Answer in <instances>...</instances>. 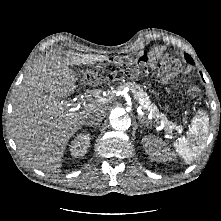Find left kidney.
<instances>
[{
    "instance_id": "left-kidney-1",
    "label": "left kidney",
    "mask_w": 221,
    "mask_h": 221,
    "mask_svg": "<svg viewBox=\"0 0 221 221\" xmlns=\"http://www.w3.org/2000/svg\"><path fill=\"white\" fill-rule=\"evenodd\" d=\"M142 144L151 158L160 161L172 160L170 149L160 139L151 136L145 137L142 139Z\"/></svg>"
}]
</instances>
